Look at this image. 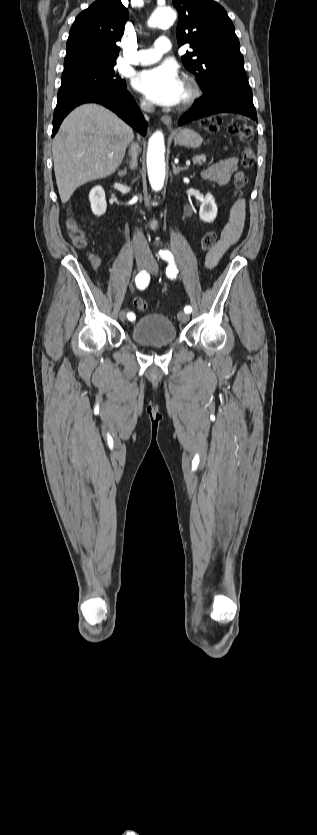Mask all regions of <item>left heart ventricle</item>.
Wrapping results in <instances>:
<instances>
[{"label":"left heart ventricle","instance_id":"obj_1","mask_svg":"<svg viewBox=\"0 0 317 835\" xmlns=\"http://www.w3.org/2000/svg\"><path fill=\"white\" fill-rule=\"evenodd\" d=\"M184 93H185V89H184V87H183L182 97L184 96ZM182 97H181V99H182Z\"/></svg>","mask_w":317,"mask_h":835}]
</instances>
